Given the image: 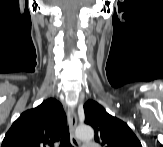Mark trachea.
<instances>
[{"mask_svg":"<svg viewBox=\"0 0 163 147\" xmlns=\"http://www.w3.org/2000/svg\"><path fill=\"white\" fill-rule=\"evenodd\" d=\"M60 147H72L69 137V128H67L61 138Z\"/></svg>","mask_w":163,"mask_h":147,"instance_id":"trachea-1","label":"trachea"}]
</instances>
